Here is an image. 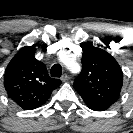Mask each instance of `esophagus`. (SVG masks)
Instances as JSON below:
<instances>
[{"label": "esophagus", "mask_w": 133, "mask_h": 133, "mask_svg": "<svg viewBox=\"0 0 133 133\" xmlns=\"http://www.w3.org/2000/svg\"><path fill=\"white\" fill-rule=\"evenodd\" d=\"M68 79H69V76L66 73L61 76L62 82H66V81H68Z\"/></svg>", "instance_id": "esophagus-1"}]
</instances>
